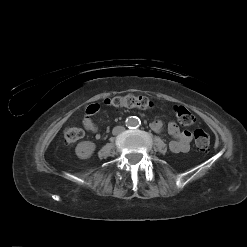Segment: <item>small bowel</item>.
Instances as JSON below:
<instances>
[{"instance_id": "c3829d8e", "label": "small bowel", "mask_w": 247, "mask_h": 247, "mask_svg": "<svg viewBox=\"0 0 247 247\" xmlns=\"http://www.w3.org/2000/svg\"><path fill=\"white\" fill-rule=\"evenodd\" d=\"M100 106L96 103L90 104L85 112L82 120L83 127L90 133L95 134L97 139L100 138L98 127L92 119V116L98 113ZM163 122L161 120H154L151 122L150 127L154 132H161L163 129ZM168 133L173 137L169 143V149L174 153H185L190 149L192 140V133L188 130H180L178 125L171 121L167 125Z\"/></svg>"}]
</instances>
